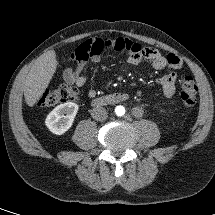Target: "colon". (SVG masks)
Listing matches in <instances>:
<instances>
[{
	"label": "colon",
	"mask_w": 215,
	"mask_h": 215,
	"mask_svg": "<svg viewBox=\"0 0 215 215\" xmlns=\"http://www.w3.org/2000/svg\"><path fill=\"white\" fill-rule=\"evenodd\" d=\"M198 87L191 76L182 80L180 99L184 106L190 107L196 103ZM78 97V91L70 86H60L54 90L45 91L39 98L37 105L40 107H52L62 103L73 102Z\"/></svg>",
	"instance_id": "obj_1"
}]
</instances>
